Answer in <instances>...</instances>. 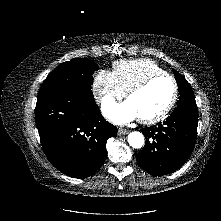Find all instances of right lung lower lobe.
Wrapping results in <instances>:
<instances>
[{
    "mask_svg": "<svg viewBox=\"0 0 221 221\" xmlns=\"http://www.w3.org/2000/svg\"><path fill=\"white\" fill-rule=\"evenodd\" d=\"M36 126L48 160L73 178L93 175L106 157V142L117 129L101 115L89 87L40 96Z\"/></svg>",
    "mask_w": 221,
    "mask_h": 221,
    "instance_id": "obj_1",
    "label": "right lung lower lobe"
}]
</instances>
